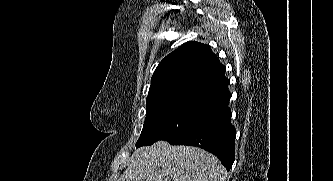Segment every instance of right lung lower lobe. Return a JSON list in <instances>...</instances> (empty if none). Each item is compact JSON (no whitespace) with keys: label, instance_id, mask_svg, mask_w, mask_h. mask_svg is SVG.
<instances>
[{"label":"right lung lower lobe","instance_id":"98d812e1","mask_svg":"<svg viewBox=\"0 0 333 181\" xmlns=\"http://www.w3.org/2000/svg\"><path fill=\"white\" fill-rule=\"evenodd\" d=\"M228 102L209 108L188 131L168 141L172 145L200 147L216 155L227 170L235 160L236 129L231 123Z\"/></svg>","mask_w":333,"mask_h":181}]
</instances>
